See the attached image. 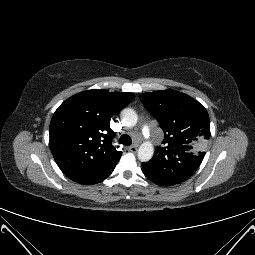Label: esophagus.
<instances>
[{"instance_id":"1","label":"esophagus","mask_w":255,"mask_h":255,"mask_svg":"<svg viewBox=\"0 0 255 255\" xmlns=\"http://www.w3.org/2000/svg\"><path fill=\"white\" fill-rule=\"evenodd\" d=\"M128 150L132 153H136L138 150V146H136V145L130 146V147H128Z\"/></svg>"}]
</instances>
